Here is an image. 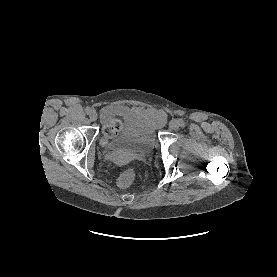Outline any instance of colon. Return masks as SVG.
Listing matches in <instances>:
<instances>
[{"label":"colon","instance_id":"colon-1","mask_svg":"<svg viewBox=\"0 0 277 277\" xmlns=\"http://www.w3.org/2000/svg\"><path fill=\"white\" fill-rule=\"evenodd\" d=\"M121 126H122V120L120 119L113 120L110 124L105 126L103 130L104 137L109 138L116 135L119 132ZM134 178H135V172L133 169L129 168L119 176V178L117 179V185L120 188H127L133 183Z\"/></svg>","mask_w":277,"mask_h":277}]
</instances>
